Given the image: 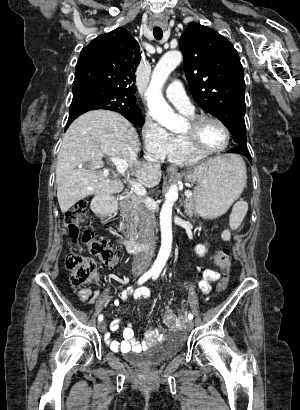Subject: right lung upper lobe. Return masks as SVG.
Here are the masks:
<instances>
[{"mask_svg":"<svg viewBox=\"0 0 300 410\" xmlns=\"http://www.w3.org/2000/svg\"><path fill=\"white\" fill-rule=\"evenodd\" d=\"M140 60L137 41L126 29L117 28L82 49L73 85L89 83L105 88L122 96L128 110H137L134 80Z\"/></svg>","mask_w":300,"mask_h":410,"instance_id":"1","label":"right lung upper lobe"}]
</instances>
